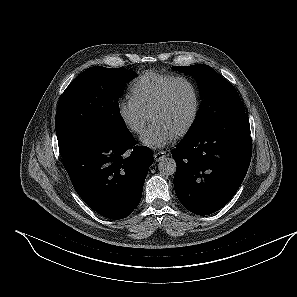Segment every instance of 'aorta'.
<instances>
[{"label": "aorta", "mask_w": 297, "mask_h": 297, "mask_svg": "<svg viewBox=\"0 0 297 297\" xmlns=\"http://www.w3.org/2000/svg\"><path fill=\"white\" fill-rule=\"evenodd\" d=\"M176 162L173 158L162 157L158 164V169L161 174L169 176L176 172Z\"/></svg>", "instance_id": "1"}]
</instances>
